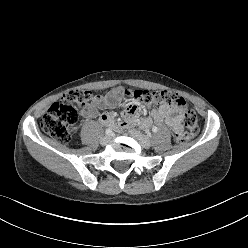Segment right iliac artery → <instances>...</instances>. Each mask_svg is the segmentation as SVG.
<instances>
[{
  "label": "right iliac artery",
  "mask_w": 248,
  "mask_h": 248,
  "mask_svg": "<svg viewBox=\"0 0 248 248\" xmlns=\"http://www.w3.org/2000/svg\"><path fill=\"white\" fill-rule=\"evenodd\" d=\"M105 133H106V135H108V136H109V135H111V134H112V131H111V129H106V132H105Z\"/></svg>",
  "instance_id": "82829eb1"
}]
</instances>
